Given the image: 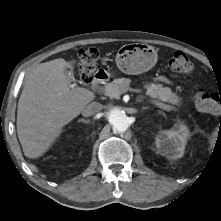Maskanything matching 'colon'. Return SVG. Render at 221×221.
Returning a JSON list of instances; mask_svg holds the SVG:
<instances>
[{"mask_svg":"<svg viewBox=\"0 0 221 221\" xmlns=\"http://www.w3.org/2000/svg\"><path fill=\"white\" fill-rule=\"evenodd\" d=\"M79 57V79L88 83L98 70V60L100 53L95 48L81 49ZM167 67L178 74L188 75L194 70V64L190 58L183 52H175L167 61ZM196 108L205 113H215L221 106V95L198 90L194 96Z\"/></svg>","mask_w":221,"mask_h":221,"instance_id":"obj_1","label":"colon"}]
</instances>
